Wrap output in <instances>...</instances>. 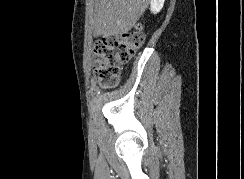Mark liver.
<instances>
[{"label":"liver","instance_id":"6515ba94","mask_svg":"<svg viewBox=\"0 0 244 179\" xmlns=\"http://www.w3.org/2000/svg\"><path fill=\"white\" fill-rule=\"evenodd\" d=\"M149 0H99L93 22L95 36H118L135 26Z\"/></svg>","mask_w":244,"mask_h":179}]
</instances>
